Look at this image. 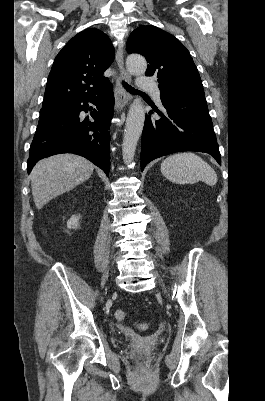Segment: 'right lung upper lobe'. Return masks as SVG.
I'll return each mask as SVG.
<instances>
[{"mask_svg": "<svg viewBox=\"0 0 265 401\" xmlns=\"http://www.w3.org/2000/svg\"><path fill=\"white\" fill-rule=\"evenodd\" d=\"M113 60L114 47L106 34L96 28L78 33L54 60L42 106L100 93L109 84L103 72Z\"/></svg>", "mask_w": 265, "mask_h": 401, "instance_id": "cb5924a9", "label": "right lung upper lobe"}]
</instances>
